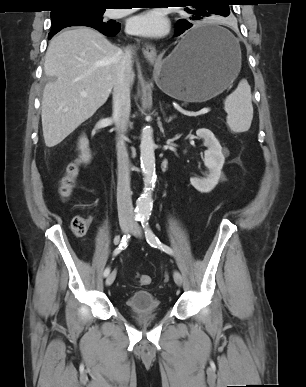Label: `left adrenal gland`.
<instances>
[{
  "instance_id": "left-adrenal-gland-1",
  "label": "left adrenal gland",
  "mask_w": 306,
  "mask_h": 387,
  "mask_svg": "<svg viewBox=\"0 0 306 387\" xmlns=\"http://www.w3.org/2000/svg\"><path fill=\"white\" fill-rule=\"evenodd\" d=\"M163 115H165V113L163 112ZM176 118V115H172V116H169V118H165V122L166 123H170L173 119Z\"/></svg>"
}]
</instances>
